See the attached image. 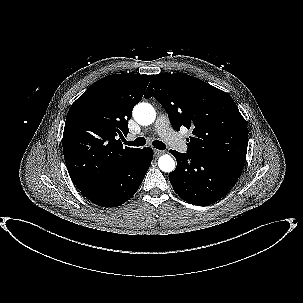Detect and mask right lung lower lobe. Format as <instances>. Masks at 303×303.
Returning <instances> with one entry per match:
<instances>
[{"mask_svg": "<svg viewBox=\"0 0 303 303\" xmlns=\"http://www.w3.org/2000/svg\"><path fill=\"white\" fill-rule=\"evenodd\" d=\"M153 159L151 148L140 149L126 165L99 183L82 190L84 197L102 207H116L128 201L138 190Z\"/></svg>", "mask_w": 303, "mask_h": 303, "instance_id": "1", "label": "right lung lower lobe"}]
</instances>
